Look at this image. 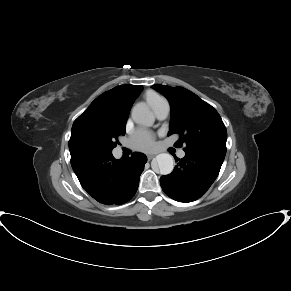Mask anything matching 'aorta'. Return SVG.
<instances>
[{
  "instance_id": "1",
  "label": "aorta",
  "mask_w": 291,
  "mask_h": 291,
  "mask_svg": "<svg viewBox=\"0 0 291 291\" xmlns=\"http://www.w3.org/2000/svg\"><path fill=\"white\" fill-rule=\"evenodd\" d=\"M132 119L135 123L144 125V126H152L155 117L153 113L149 110V108L144 104H137L132 109ZM156 164L160 174L168 175L174 169V160L170 154L161 153L156 156Z\"/></svg>"
}]
</instances>
